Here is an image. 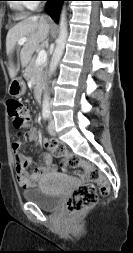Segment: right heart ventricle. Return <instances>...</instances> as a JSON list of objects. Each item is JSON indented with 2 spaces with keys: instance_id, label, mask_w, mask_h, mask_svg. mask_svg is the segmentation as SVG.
I'll return each mask as SVG.
<instances>
[{
  "instance_id": "1",
  "label": "right heart ventricle",
  "mask_w": 133,
  "mask_h": 253,
  "mask_svg": "<svg viewBox=\"0 0 133 253\" xmlns=\"http://www.w3.org/2000/svg\"><path fill=\"white\" fill-rule=\"evenodd\" d=\"M11 8L16 12L19 18H22L26 15V4L21 1H14L11 3Z\"/></svg>"
}]
</instances>
